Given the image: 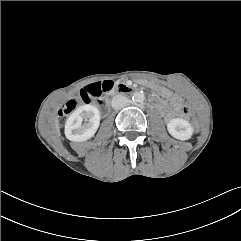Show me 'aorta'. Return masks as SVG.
Returning <instances> with one entry per match:
<instances>
[{"label":"aorta","instance_id":"obj_1","mask_svg":"<svg viewBox=\"0 0 241 241\" xmlns=\"http://www.w3.org/2000/svg\"><path fill=\"white\" fill-rule=\"evenodd\" d=\"M145 99V95L143 92H135L132 96V100L138 103L143 102Z\"/></svg>","mask_w":241,"mask_h":241}]
</instances>
